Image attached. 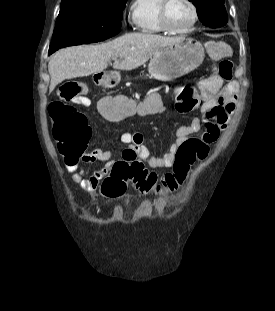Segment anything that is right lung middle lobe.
Wrapping results in <instances>:
<instances>
[{"instance_id":"obj_1","label":"right lung middle lobe","mask_w":275,"mask_h":311,"mask_svg":"<svg viewBox=\"0 0 275 311\" xmlns=\"http://www.w3.org/2000/svg\"><path fill=\"white\" fill-rule=\"evenodd\" d=\"M127 0H62L49 54L94 43L119 29ZM118 34V33H117Z\"/></svg>"}]
</instances>
